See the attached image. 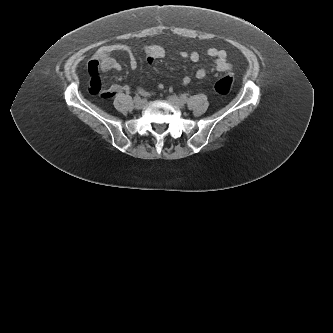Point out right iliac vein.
Listing matches in <instances>:
<instances>
[{
    "mask_svg": "<svg viewBox=\"0 0 333 333\" xmlns=\"http://www.w3.org/2000/svg\"><path fill=\"white\" fill-rule=\"evenodd\" d=\"M147 104V101L145 99H140L135 102L136 109L140 110L143 109Z\"/></svg>",
    "mask_w": 333,
    "mask_h": 333,
    "instance_id": "right-iliac-vein-1",
    "label": "right iliac vein"
}]
</instances>
